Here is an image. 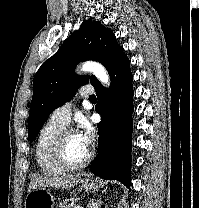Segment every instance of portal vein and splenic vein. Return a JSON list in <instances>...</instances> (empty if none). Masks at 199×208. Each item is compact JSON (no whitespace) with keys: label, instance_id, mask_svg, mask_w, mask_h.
Segmentation results:
<instances>
[{"label":"portal vein and splenic vein","instance_id":"portal-vein-and-splenic-vein-1","mask_svg":"<svg viewBox=\"0 0 199 208\" xmlns=\"http://www.w3.org/2000/svg\"><path fill=\"white\" fill-rule=\"evenodd\" d=\"M74 208H83V207H81V206H75Z\"/></svg>","mask_w":199,"mask_h":208}]
</instances>
